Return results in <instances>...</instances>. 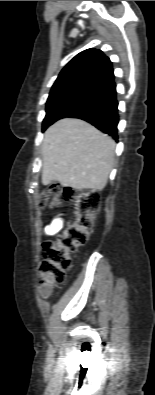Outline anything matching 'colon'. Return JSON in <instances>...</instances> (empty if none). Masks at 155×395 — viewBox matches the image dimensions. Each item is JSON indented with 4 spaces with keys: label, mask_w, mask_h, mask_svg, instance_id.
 <instances>
[{
    "label": "colon",
    "mask_w": 155,
    "mask_h": 395,
    "mask_svg": "<svg viewBox=\"0 0 155 395\" xmlns=\"http://www.w3.org/2000/svg\"><path fill=\"white\" fill-rule=\"evenodd\" d=\"M61 199L72 205L74 219L63 226L56 240L43 244L39 273L43 297L50 296L53 286L63 282L71 267V254L88 239L100 201L97 192H79L55 185L42 194L39 205L41 208L56 205Z\"/></svg>",
    "instance_id": "obj_1"
}]
</instances>
